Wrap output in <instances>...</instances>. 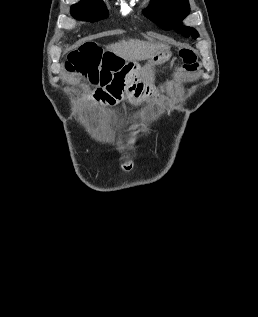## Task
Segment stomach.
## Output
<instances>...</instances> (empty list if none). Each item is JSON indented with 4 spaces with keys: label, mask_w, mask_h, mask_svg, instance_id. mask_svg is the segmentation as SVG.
Listing matches in <instances>:
<instances>
[{
    "label": "stomach",
    "mask_w": 258,
    "mask_h": 317,
    "mask_svg": "<svg viewBox=\"0 0 258 317\" xmlns=\"http://www.w3.org/2000/svg\"><path fill=\"white\" fill-rule=\"evenodd\" d=\"M169 58H171L170 50H162L160 54H154V56H152V64H162V62H166ZM126 66H129V68H133V66L134 68H137L136 76H138V80H140V82H143V68L139 66L138 62H128Z\"/></svg>",
    "instance_id": "obj_1"
}]
</instances>
